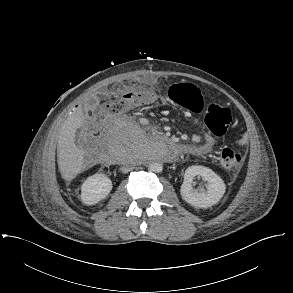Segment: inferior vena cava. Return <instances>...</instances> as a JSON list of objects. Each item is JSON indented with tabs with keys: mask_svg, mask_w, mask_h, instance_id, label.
<instances>
[{
	"mask_svg": "<svg viewBox=\"0 0 293 293\" xmlns=\"http://www.w3.org/2000/svg\"><path fill=\"white\" fill-rule=\"evenodd\" d=\"M132 169H133V165L131 163H128L121 168V171L123 173H127V172L131 171Z\"/></svg>",
	"mask_w": 293,
	"mask_h": 293,
	"instance_id": "1",
	"label": "inferior vena cava"
}]
</instances>
